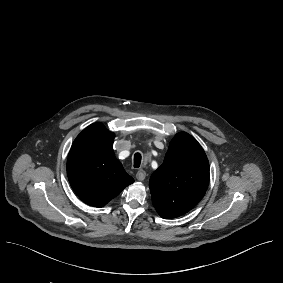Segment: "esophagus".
Wrapping results in <instances>:
<instances>
[{"label":"esophagus","mask_w":283,"mask_h":283,"mask_svg":"<svg viewBox=\"0 0 283 283\" xmlns=\"http://www.w3.org/2000/svg\"><path fill=\"white\" fill-rule=\"evenodd\" d=\"M146 177V172L144 170H139L137 173H136V178L139 180V181H142L144 180Z\"/></svg>","instance_id":"obj_1"}]
</instances>
